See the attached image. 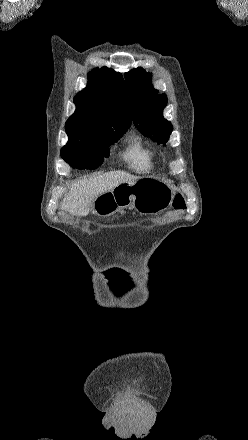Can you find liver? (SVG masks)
I'll return each instance as SVG.
<instances>
[{"label": "liver", "mask_w": 248, "mask_h": 440, "mask_svg": "<svg viewBox=\"0 0 248 440\" xmlns=\"http://www.w3.org/2000/svg\"><path fill=\"white\" fill-rule=\"evenodd\" d=\"M140 177L124 171H110L75 183L63 199L60 208L75 216L87 215L92 202L122 183H135Z\"/></svg>", "instance_id": "liver-1"}]
</instances>
